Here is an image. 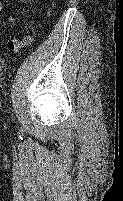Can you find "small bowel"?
Masks as SVG:
<instances>
[{"label":"small bowel","instance_id":"small-bowel-1","mask_svg":"<svg viewBox=\"0 0 123 201\" xmlns=\"http://www.w3.org/2000/svg\"><path fill=\"white\" fill-rule=\"evenodd\" d=\"M2 2L0 0V12L2 11ZM32 42V37L27 35L20 39L18 36L13 37L11 42L9 43V48L14 52H19L22 48L29 45Z\"/></svg>","mask_w":123,"mask_h":201}]
</instances>
